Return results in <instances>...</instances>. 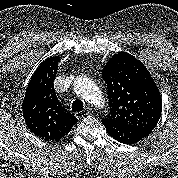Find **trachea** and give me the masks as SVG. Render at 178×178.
I'll return each instance as SVG.
<instances>
[{
	"instance_id": "3493384b",
	"label": "trachea",
	"mask_w": 178,
	"mask_h": 178,
	"mask_svg": "<svg viewBox=\"0 0 178 178\" xmlns=\"http://www.w3.org/2000/svg\"><path fill=\"white\" fill-rule=\"evenodd\" d=\"M83 107H84V104L81 100H74L72 103V111L73 112L82 111Z\"/></svg>"
}]
</instances>
